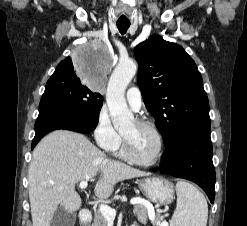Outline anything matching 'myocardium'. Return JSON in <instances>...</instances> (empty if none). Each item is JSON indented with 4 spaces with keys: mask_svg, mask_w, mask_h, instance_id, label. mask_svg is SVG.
Segmentation results:
<instances>
[{
    "mask_svg": "<svg viewBox=\"0 0 247 226\" xmlns=\"http://www.w3.org/2000/svg\"><path fill=\"white\" fill-rule=\"evenodd\" d=\"M135 124L137 126H140V127H146L148 129H150L155 134V136L157 137V140H158L157 154L153 159L148 160V161L138 159L132 153L127 138L122 134V149H123L124 155L129 161H131V162H133L139 166H144V167L154 166L161 160L163 153H164L165 142H164L163 135L160 132V130L158 129V127L153 122H151L149 120H144V119L136 120Z\"/></svg>",
    "mask_w": 247,
    "mask_h": 226,
    "instance_id": "1",
    "label": "myocardium"
}]
</instances>
